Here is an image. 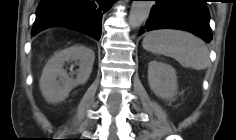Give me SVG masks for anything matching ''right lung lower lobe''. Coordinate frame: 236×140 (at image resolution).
I'll use <instances>...</instances> for the list:
<instances>
[{"instance_id": "right-lung-lower-lobe-1", "label": "right lung lower lobe", "mask_w": 236, "mask_h": 140, "mask_svg": "<svg viewBox=\"0 0 236 140\" xmlns=\"http://www.w3.org/2000/svg\"><path fill=\"white\" fill-rule=\"evenodd\" d=\"M114 0H41L32 36L49 27H70L99 40L102 17Z\"/></svg>"}]
</instances>
